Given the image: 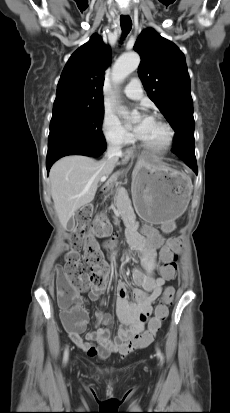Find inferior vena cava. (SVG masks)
<instances>
[{
  "instance_id": "1",
  "label": "inferior vena cava",
  "mask_w": 230,
  "mask_h": 413,
  "mask_svg": "<svg viewBox=\"0 0 230 413\" xmlns=\"http://www.w3.org/2000/svg\"><path fill=\"white\" fill-rule=\"evenodd\" d=\"M121 142V138L117 137L107 148L106 158L112 163H116L118 161L121 154Z\"/></svg>"
}]
</instances>
